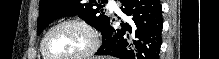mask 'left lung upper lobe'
<instances>
[{"label":"left lung upper lobe","mask_w":219,"mask_h":59,"mask_svg":"<svg viewBox=\"0 0 219 59\" xmlns=\"http://www.w3.org/2000/svg\"><path fill=\"white\" fill-rule=\"evenodd\" d=\"M107 0H40L37 34L39 35L53 20L63 16H79L100 32L109 21L103 13Z\"/></svg>","instance_id":"obj_1"}]
</instances>
